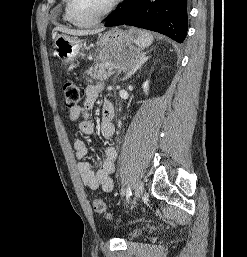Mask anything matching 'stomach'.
<instances>
[{"label": "stomach", "mask_w": 247, "mask_h": 257, "mask_svg": "<svg viewBox=\"0 0 247 257\" xmlns=\"http://www.w3.org/2000/svg\"><path fill=\"white\" fill-rule=\"evenodd\" d=\"M138 30L124 31L114 28L101 34L97 45L100 47L99 59L122 69L132 68L140 58V50L133 43ZM55 54L64 62H73L83 50V42L77 37L64 34L54 36Z\"/></svg>", "instance_id": "obj_1"}]
</instances>
